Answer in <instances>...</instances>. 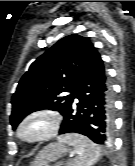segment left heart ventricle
<instances>
[{"label": "left heart ventricle", "mask_w": 135, "mask_h": 166, "mask_svg": "<svg viewBox=\"0 0 135 166\" xmlns=\"http://www.w3.org/2000/svg\"><path fill=\"white\" fill-rule=\"evenodd\" d=\"M47 127V121L41 118L31 121L25 128L24 134L26 136H36L42 133Z\"/></svg>", "instance_id": "obj_1"}]
</instances>
